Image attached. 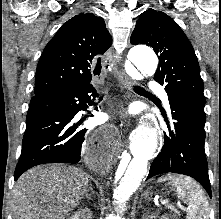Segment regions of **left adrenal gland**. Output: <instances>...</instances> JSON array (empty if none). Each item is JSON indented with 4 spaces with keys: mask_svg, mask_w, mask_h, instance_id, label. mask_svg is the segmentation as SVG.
<instances>
[{
    "mask_svg": "<svg viewBox=\"0 0 221 219\" xmlns=\"http://www.w3.org/2000/svg\"><path fill=\"white\" fill-rule=\"evenodd\" d=\"M147 196H148L147 192L142 195V197H147Z\"/></svg>",
    "mask_w": 221,
    "mask_h": 219,
    "instance_id": "left-adrenal-gland-1",
    "label": "left adrenal gland"
}]
</instances>
